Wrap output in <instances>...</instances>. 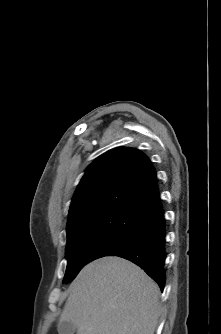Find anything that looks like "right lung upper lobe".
<instances>
[{
	"label": "right lung upper lobe",
	"mask_w": 221,
	"mask_h": 334,
	"mask_svg": "<svg viewBox=\"0 0 221 334\" xmlns=\"http://www.w3.org/2000/svg\"><path fill=\"white\" fill-rule=\"evenodd\" d=\"M156 171L149 158L133 148H115L86 170L71 202L70 232L91 216L124 212L143 215L159 200Z\"/></svg>",
	"instance_id": "right-lung-upper-lobe-1"
}]
</instances>
